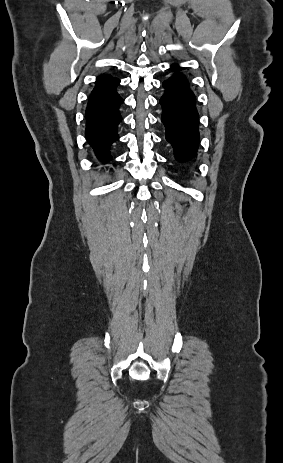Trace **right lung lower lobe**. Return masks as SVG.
I'll use <instances>...</instances> for the list:
<instances>
[{"label":"right lung lower lobe","mask_w":283,"mask_h":463,"mask_svg":"<svg viewBox=\"0 0 283 463\" xmlns=\"http://www.w3.org/2000/svg\"><path fill=\"white\" fill-rule=\"evenodd\" d=\"M120 80L110 77L96 82L86 109V137L96 156L110 161V145L118 140L117 126L122 120L119 106L123 99L115 91Z\"/></svg>","instance_id":"obj_1"}]
</instances>
